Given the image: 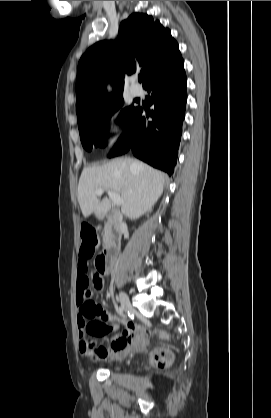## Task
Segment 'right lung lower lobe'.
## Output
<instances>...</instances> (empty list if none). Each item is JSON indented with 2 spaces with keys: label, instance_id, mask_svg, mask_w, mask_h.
Instances as JSON below:
<instances>
[{
  "label": "right lung lower lobe",
  "instance_id": "right-lung-lower-lobe-1",
  "mask_svg": "<svg viewBox=\"0 0 271 418\" xmlns=\"http://www.w3.org/2000/svg\"><path fill=\"white\" fill-rule=\"evenodd\" d=\"M186 88L187 78L182 59L145 88L152 94L150 104L155 109L147 112L142 107L138 108L125 125L126 130L109 157L132 150L137 158L171 175L178 156L185 117Z\"/></svg>",
  "mask_w": 271,
  "mask_h": 418
}]
</instances>
